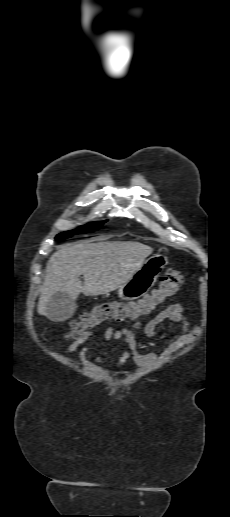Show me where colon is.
<instances>
[{
	"label": "colon",
	"mask_w": 230,
	"mask_h": 517,
	"mask_svg": "<svg viewBox=\"0 0 230 517\" xmlns=\"http://www.w3.org/2000/svg\"><path fill=\"white\" fill-rule=\"evenodd\" d=\"M183 280L184 276L181 271L170 269L161 278L159 287L138 301L107 302L83 313L78 320L71 324L67 337L79 339L107 320H137L149 316L178 291Z\"/></svg>",
	"instance_id": "1"
}]
</instances>
